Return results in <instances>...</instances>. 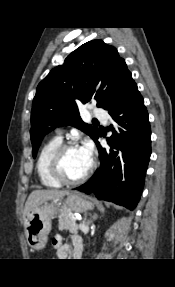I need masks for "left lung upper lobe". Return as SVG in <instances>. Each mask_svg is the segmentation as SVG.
I'll return each instance as SVG.
<instances>
[{
    "instance_id": "left-lung-upper-lobe-1",
    "label": "left lung upper lobe",
    "mask_w": 175,
    "mask_h": 287,
    "mask_svg": "<svg viewBox=\"0 0 175 287\" xmlns=\"http://www.w3.org/2000/svg\"><path fill=\"white\" fill-rule=\"evenodd\" d=\"M100 81L101 86L108 85L104 92L91 87ZM134 84L115 47L92 40L74 50L37 87L31 113L33 157L44 136L59 126L72 125L96 141L100 131L82 121L78 104L96 100L98 107L111 113L125 101Z\"/></svg>"
}]
</instances>
